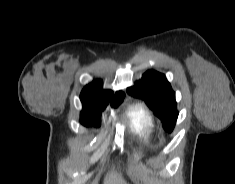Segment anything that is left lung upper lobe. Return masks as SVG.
<instances>
[{"mask_svg": "<svg viewBox=\"0 0 235 184\" xmlns=\"http://www.w3.org/2000/svg\"><path fill=\"white\" fill-rule=\"evenodd\" d=\"M127 92L141 98L161 119L165 130L172 132L174 129L178 111L176 110L175 92L164 74L154 70L145 72L141 80L129 87Z\"/></svg>", "mask_w": 235, "mask_h": 184, "instance_id": "1", "label": "left lung upper lobe"}]
</instances>
